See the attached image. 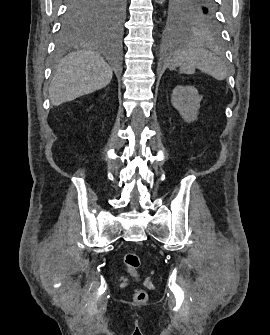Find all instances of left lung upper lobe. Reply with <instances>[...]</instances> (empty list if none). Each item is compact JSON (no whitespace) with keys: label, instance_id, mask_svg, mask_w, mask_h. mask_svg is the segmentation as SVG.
Returning a JSON list of instances; mask_svg holds the SVG:
<instances>
[{"label":"left lung upper lobe","instance_id":"5c2ea615","mask_svg":"<svg viewBox=\"0 0 270 335\" xmlns=\"http://www.w3.org/2000/svg\"><path fill=\"white\" fill-rule=\"evenodd\" d=\"M162 10L171 29L210 35L219 32L214 0H164Z\"/></svg>","mask_w":270,"mask_h":335}]
</instances>
